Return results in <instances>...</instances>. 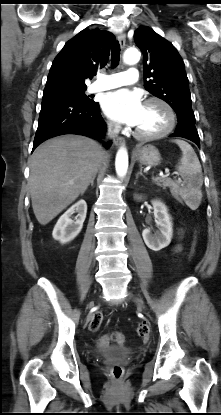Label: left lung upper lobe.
<instances>
[{
  "mask_svg": "<svg viewBox=\"0 0 221 415\" xmlns=\"http://www.w3.org/2000/svg\"><path fill=\"white\" fill-rule=\"evenodd\" d=\"M134 41L144 57L146 90L166 101L178 119L195 118L185 65L176 48L150 27L138 28Z\"/></svg>",
  "mask_w": 221,
  "mask_h": 415,
  "instance_id": "left-lung-upper-lobe-1",
  "label": "left lung upper lobe"
}]
</instances>
